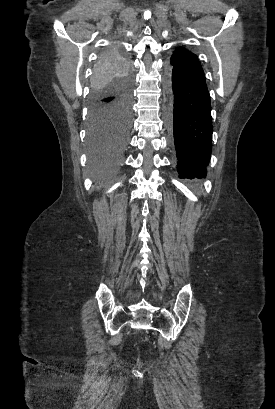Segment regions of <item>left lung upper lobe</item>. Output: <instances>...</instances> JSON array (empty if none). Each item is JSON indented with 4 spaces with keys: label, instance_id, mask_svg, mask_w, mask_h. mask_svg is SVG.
I'll return each mask as SVG.
<instances>
[{
    "label": "left lung upper lobe",
    "instance_id": "1",
    "mask_svg": "<svg viewBox=\"0 0 275 409\" xmlns=\"http://www.w3.org/2000/svg\"><path fill=\"white\" fill-rule=\"evenodd\" d=\"M170 65L184 69L189 73L205 77L204 70L198 57L184 47H178L171 56Z\"/></svg>",
    "mask_w": 275,
    "mask_h": 409
}]
</instances>
